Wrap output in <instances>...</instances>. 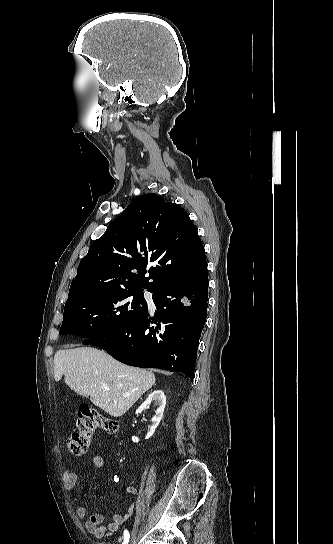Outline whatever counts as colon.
I'll list each match as a JSON object with an SVG mask.
<instances>
[{"label": "colon", "mask_w": 333, "mask_h": 544, "mask_svg": "<svg viewBox=\"0 0 333 544\" xmlns=\"http://www.w3.org/2000/svg\"><path fill=\"white\" fill-rule=\"evenodd\" d=\"M118 422L88 406L78 413L75 429L67 438V447L74 455H82L89 447L93 432L102 429L110 434L118 431Z\"/></svg>", "instance_id": "obj_1"}]
</instances>
